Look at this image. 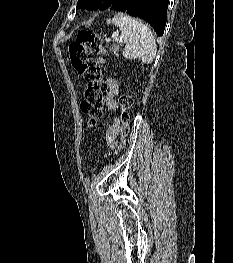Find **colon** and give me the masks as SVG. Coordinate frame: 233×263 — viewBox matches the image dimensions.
<instances>
[{
	"mask_svg": "<svg viewBox=\"0 0 233 263\" xmlns=\"http://www.w3.org/2000/svg\"><path fill=\"white\" fill-rule=\"evenodd\" d=\"M104 54H106V49L103 46L101 36L91 30H81L69 44L71 64L84 77L87 83L85 97L80 104V109L90 127L94 126L102 117L103 96L106 90L103 81L104 70L93 61L91 56ZM119 105L121 108V132L125 139L129 133V110L132 106L131 96L126 92L122 93L119 96Z\"/></svg>",
	"mask_w": 233,
	"mask_h": 263,
	"instance_id": "5ec220e1",
	"label": "colon"
}]
</instances>
